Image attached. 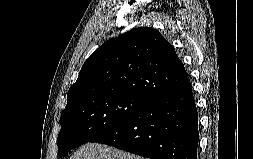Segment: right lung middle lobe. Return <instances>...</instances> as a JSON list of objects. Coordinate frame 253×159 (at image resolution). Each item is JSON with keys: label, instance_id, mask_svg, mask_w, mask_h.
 <instances>
[{"label": "right lung middle lobe", "instance_id": "dd1d6c3e", "mask_svg": "<svg viewBox=\"0 0 253 159\" xmlns=\"http://www.w3.org/2000/svg\"><path fill=\"white\" fill-rule=\"evenodd\" d=\"M147 100L133 93H103L67 103L61 114V130L57 138L59 155L64 157L74 147L91 142L119 126Z\"/></svg>", "mask_w": 253, "mask_h": 159}]
</instances>
